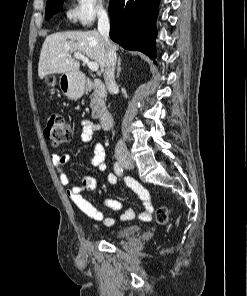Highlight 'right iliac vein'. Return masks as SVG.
<instances>
[{
	"instance_id": "63e3f726",
	"label": "right iliac vein",
	"mask_w": 247,
	"mask_h": 296,
	"mask_svg": "<svg viewBox=\"0 0 247 296\" xmlns=\"http://www.w3.org/2000/svg\"><path fill=\"white\" fill-rule=\"evenodd\" d=\"M118 160L122 166L127 168H131L134 165L132 158L127 155H119Z\"/></svg>"
}]
</instances>
